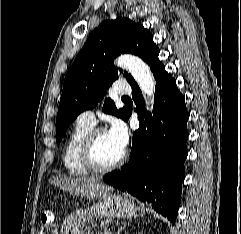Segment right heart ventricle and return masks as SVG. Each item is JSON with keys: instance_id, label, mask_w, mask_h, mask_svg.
<instances>
[{"instance_id": "right-heart-ventricle-1", "label": "right heart ventricle", "mask_w": 241, "mask_h": 234, "mask_svg": "<svg viewBox=\"0 0 241 234\" xmlns=\"http://www.w3.org/2000/svg\"><path fill=\"white\" fill-rule=\"evenodd\" d=\"M92 129V125L77 120L66 138L63 151V164L70 175L86 176L90 173L82 162L81 147L85 136Z\"/></svg>"}]
</instances>
